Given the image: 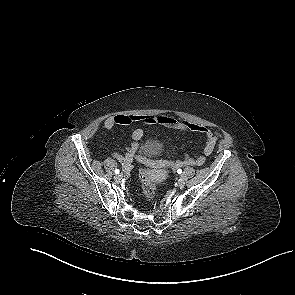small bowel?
Returning a JSON list of instances; mask_svg holds the SVG:
<instances>
[{
	"label": "small bowel",
	"instance_id": "obj_1",
	"mask_svg": "<svg viewBox=\"0 0 295 295\" xmlns=\"http://www.w3.org/2000/svg\"><path fill=\"white\" fill-rule=\"evenodd\" d=\"M134 123H139L145 126H154L161 125L165 128L185 131V132H195L201 133L205 136L206 141L203 148V155L195 158L185 157L175 161L176 166H201L205 163V157L210 156L218 139L220 138V134L217 132H212L208 128L198 125L196 123H192L185 120H178L174 117L168 115H115L108 117L104 123L103 127L106 131L112 130L115 126H124L131 125ZM144 129L137 128L132 132L131 138L132 143L126 149V151L121 153H112L113 157L118 160L123 168L128 171L131 167V163L134 160L143 161L144 158L138 153V145L137 142L143 137Z\"/></svg>",
	"mask_w": 295,
	"mask_h": 295
}]
</instances>
